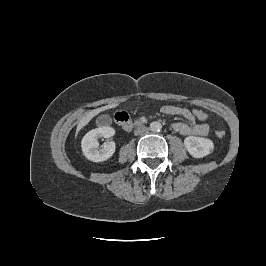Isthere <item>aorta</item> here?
I'll list each match as a JSON object with an SVG mask.
<instances>
[{"label": "aorta", "instance_id": "obj_1", "mask_svg": "<svg viewBox=\"0 0 266 266\" xmlns=\"http://www.w3.org/2000/svg\"><path fill=\"white\" fill-rule=\"evenodd\" d=\"M161 128H162V125H161V123L158 122V121L152 122V123L150 124V129H151L152 131H160Z\"/></svg>", "mask_w": 266, "mask_h": 266}]
</instances>
